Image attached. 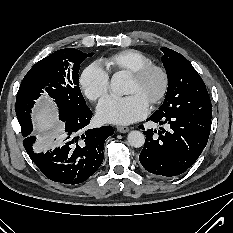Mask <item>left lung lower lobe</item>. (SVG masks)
<instances>
[{"label":"left lung lower lobe","instance_id":"left-lung-lower-lobe-1","mask_svg":"<svg viewBox=\"0 0 233 233\" xmlns=\"http://www.w3.org/2000/svg\"><path fill=\"white\" fill-rule=\"evenodd\" d=\"M147 121L170 125L169 130L160 127L158 133L153 129L145 131V145L139 155L148 172L165 177L182 174L195 163L211 129V120L186 112L153 113ZM139 128L145 130L142 125Z\"/></svg>","mask_w":233,"mask_h":233}]
</instances>
